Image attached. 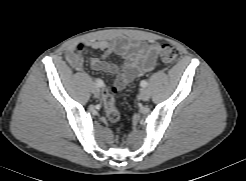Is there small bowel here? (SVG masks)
<instances>
[{
    "instance_id": "small-bowel-1",
    "label": "small bowel",
    "mask_w": 246,
    "mask_h": 181,
    "mask_svg": "<svg viewBox=\"0 0 246 181\" xmlns=\"http://www.w3.org/2000/svg\"><path fill=\"white\" fill-rule=\"evenodd\" d=\"M86 48L103 52L102 58L90 60V66L96 71L116 74L115 84L117 88L122 89L137 75L149 72L154 68L158 44L133 42L125 38H120L115 42L78 40L68 47L66 54L67 61L78 72L83 70L82 52ZM112 54L122 58L120 65L107 61V58Z\"/></svg>"
}]
</instances>
